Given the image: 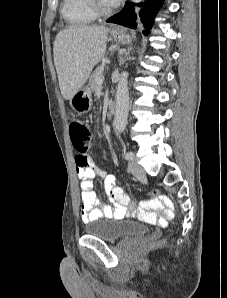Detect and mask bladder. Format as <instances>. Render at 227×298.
Here are the masks:
<instances>
[{
    "mask_svg": "<svg viewBox=\"0 0 227 298\" xmlns=\"http://www.w3.org/2000/svg\"><path fill=\"white\" fill-rule=\"evenodd\" d=\"M87 235L105 241H117L127 237L140 236L148 233L149 228L139 222L125 219L93 220L84 226Z\"/></svg>",
    "mask_w": 227,
    "mask_h": 298,
    "instance_id": "31cf9c89",
    "label": "bladder"
}]
</instances>
